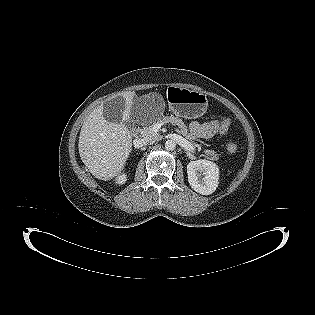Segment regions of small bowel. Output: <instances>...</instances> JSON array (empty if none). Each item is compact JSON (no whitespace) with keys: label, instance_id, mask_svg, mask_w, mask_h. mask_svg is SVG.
<instances>
[{"label":"small bowel","instance_id":"c3829d8e","mask_svg":"<svg viewBox=\"0 0 315 315\" xmlns=\"http://www.w3.org/2000/svg\"><path fill=\"white\" fill-rule=\"evenodd\" d=\"M220 122L221 121L219 120H213L206 123L193 121L190 124V130L197 137L204 138V139H211L219 131Z\"/></svg>","mask_w":315,"mask_h":315}]
</instances>
